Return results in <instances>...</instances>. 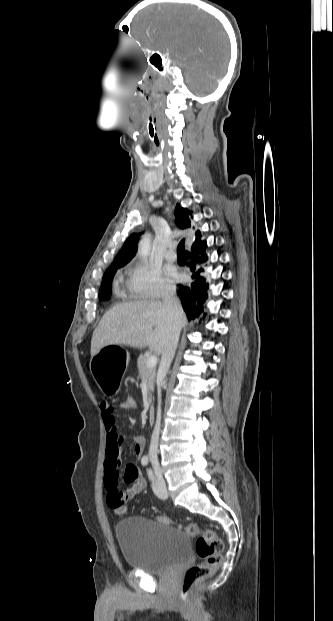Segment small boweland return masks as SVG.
Instances as JSON below:
<instances>
[{
  "label": "small bowel",
  "instance_id": "obj_1",
  "mask_svg": "<svg viewBox=\"0 0 333 621\" xmlns=\"http://www.w3.org/2000/svg\"><path fill=\"white\" fill-rule=\"evenodd\" d=\"M100 410L107 433V459L105 463L107 504L110 508L115 509L117 505L125 504L138 495L145 488L146 481L139 468L133 463H128L124 468V479L128 487L125 490L119 488L120 452L124 437L119 431L113 406L108 401H102L100 403ZM144 447V437L136 436L132 439V449L137 459L141 458Z\"/></svg>",
  "mask_w": 333,
  "mask_h": 621
}]
</instances>
